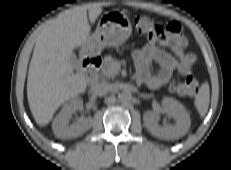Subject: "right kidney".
Wrapping results in <instances>:
<instances>
[{
	"mask_svg": "<svg viewBox=\"0 0 231 170\" xmlns=\"http://www.w3.org/2000/svg\"><path fill=\"white\" fill-rule=\"evenodd\" d=\"M82 108L83 100L79 98H75L63 106L60 113L55 117L52 123V129L57 138H75L81 136L92 127V118L81 119L69 126L68 122L72 114Z\"/></svg>",
	"mask_w": 231,
	"mask_h": 170,
	"instance_id": "obj_1",
	"label": "right kidney"
}]
</instances>
